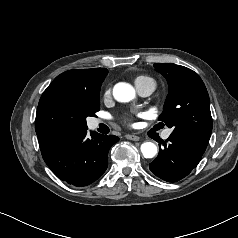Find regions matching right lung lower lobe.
Returning <instances> with one entry per match:
<instances>
[{"label": "right lung lower lobe", "instance_id": "98d812e1", "mask_svg": "<svg viewBox=\"0 0 238 238\" xmlns=\"http://www.w3.org/2000/svg\"><path fill=\"white\" fill-rule=\"evenodd\" d=\"M88 127L73 128L56 139L40 145L42 157L52 172L74 186H86L107 169L108 152L119 138L91 133Z\"/></svg>", "mask_w": 238, "mask_h": 238}]
</instances>
